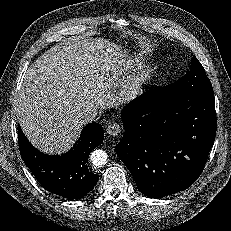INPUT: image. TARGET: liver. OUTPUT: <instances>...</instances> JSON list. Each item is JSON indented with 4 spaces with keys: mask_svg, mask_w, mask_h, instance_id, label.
Listing matches in <instances>:
<instances>
[{
    "mask_svg": "<svg viewBox=\"0 0 231 231\" xmlns=\"http://www.w3.org/2000/svg\"><path fill=\"white\" fill-rule=\"evenodd\" d=\"M120 55L118 46L108 40L76 38L56 45L31 64L17 95L16 111L35 147L49 154L66 152L85 125L78 118L81 110L115 105L116 89L122 84L116 66Z\"/></svg>",
    "mask_w": 231,
    "mask_h": 231,
    "instance_id": "6515ba94",
    "label": "liver"
}]
</instances>
